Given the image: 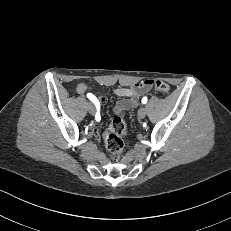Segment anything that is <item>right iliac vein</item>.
I'll list each match as a JSON object with an SVG mask.
<instances>
[{
  "label": "right iliac vein",
  "instance_id": "obj_1",
  "mask_svg": "<svg viewBox=\"0 0 231 231\" xmlns=\"http://www.w3.org/2000/svg\"><path fill=\"white\" fill-rule=\"evenodd\" d=\"M88 111L91 115L95 114V106L92 103L88 104Z\"/></svg>",
  "mask_w": 231,
  "mask_h": 231
}]
</instances>
